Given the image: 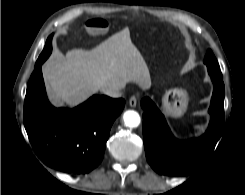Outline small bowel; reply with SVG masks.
<instances>
[{
    "instance_id": "obj_1",
    "label": "small bowel",
    "mask_w": 245,
    "mask_h": 195,
    "mask_svg": "<svg viewBox=\"0 0 245 195\" xmlns=\"http://www.w3.org/2000/svg\"><path fill=\"white\" fill-rule=\"evenodd\" d=\"M87 25L93 32H102L107 29L108 22L102 18H94L89 20Z\"/></svg>"
}]
</instances>
